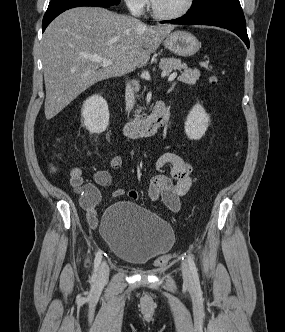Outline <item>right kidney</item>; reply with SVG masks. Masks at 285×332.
<instances>
[{"instance_id":"ca27d5eb","label":"right kidney","mask_w":285,"mask_h":332,"mask_svg":"<svg viewBox=\"0 0 285 332\" xmlns=\"http://www.w3.org/2000/svg\"><path fill=\"white\" fill-rule=\"evenodd\" d=\"M81 115L85 128L92 134L104 132L109 125L108 105L100 95H93L86 99Z\"/></svg>"}]
</instances>
